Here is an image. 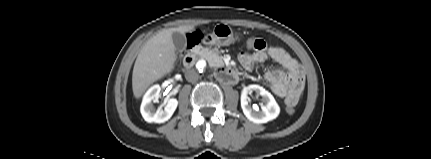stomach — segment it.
<instances>
[{
	"instance_id": "1",
	"label": "stomach",
	"mask_w": 431,
	"mask_h": 159,
	"mask_svg": "<svg viewBox=\"0 0 431 159\" xmlns=\"http://www.w3.org/2000/svg\"><path fill=\"white\" fill-rule=\"evenodd\" d=\"M233 30L226 24H217L213 32L204 37L203 42L208 45L228 46L235 41Z\"/></svg>"
}]
</instances>
